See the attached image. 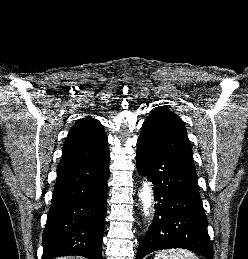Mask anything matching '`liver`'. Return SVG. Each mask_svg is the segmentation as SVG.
I'll use <instances>...</instances> for the list:
<instances>
[{
  "mask_svg": "<svg viewBox=\"0 0 248 259\" xmlns=\"http://www.w3.org/2000/svg\"><path fill=\"white\" fill-rule=\"evenodd\" d=\"M57 259H85V258H81V257H63V258H57Z\"/></svg>",
  "mask_w": 248,
  "mask_h": 259,
  "instance_id": "liver-1",
  "label": "liver"
}]
</instances>
